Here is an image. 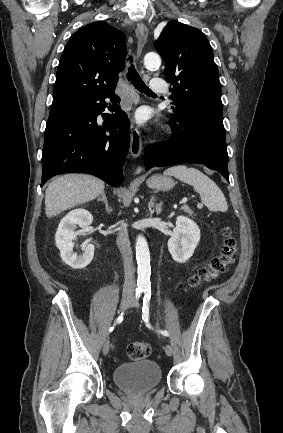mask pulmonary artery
I'll use <instances>...</instances> for the list:
<instances>
[{
  "instance_id": "pulmonary-artery-1",
  "label": "pulmonary artery",
  "mask_w": 283,
  "mask_h": 433,
  "mask_svg": "<svg viewBox=\"0 0 283 433\" xmlns=\"http://www.w3.org/2000/svg\"><path fill=\"white\" fill-rule=\"evenodd\" d=\"M151 92H164L165 80L164 78H153L150 85Z\"/></svg>"
}]
</instances>
